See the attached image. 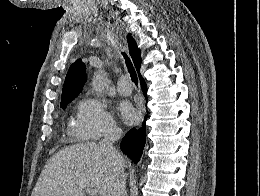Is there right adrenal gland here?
<instances>
[{
  "instance_id": "obj_1",
  "label": "right adrenal gland",
  "mask_w": 260,
  "mask_h": 196,
  "mask_svg": "<svg viewBox=\"0 0 260 196\" xmlns=\"http://www.w3.org/2000/svg\"><path fill=\"white\" fill-rule=\"evenodd\" d=\"M125 196H127V192H125Z\"/></svg>"
}]
</instances>
